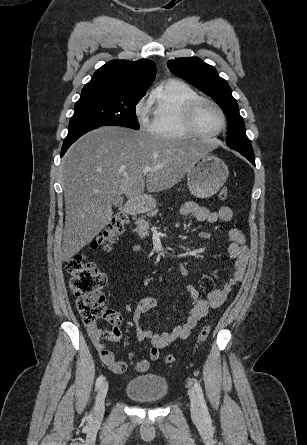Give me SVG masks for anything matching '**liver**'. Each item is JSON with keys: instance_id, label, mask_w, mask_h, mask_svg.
<instances>
[{"instance_id": "1", "label": "liver", "mask_w": 307, "mask_h": 445, "mask_svg": "<svg viewBox=\"0 0 307 445\" xmlns=\"http://www.w3.org/2000/svg\"><path fill=\"white\" fill-rule=\"evenodd\" d=\"M201 154V146L192 140H165L122 126H100L83 134L63 162L62 261H69L108 225L117 194L134 198L145 186L148 192L167 190ZM144 166L157 170L145 174Z\"/></svg>"}]
</instances>
